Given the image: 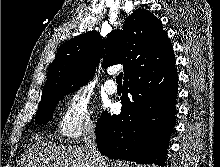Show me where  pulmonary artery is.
<instances>
[{
  "instance_id": "pulmonary-artery-1",
  "label": "pulmonary artery",
  "mask_w": 220,
  "mask_h": 167,
  "mask_svg": "<svg viewBox=\"0 0 220 167\" xmlns=\"http://www.w3.org/2000/svg\"><path fill=\"white\" fill-rule=\"evenodd\" d=\"M104 89L108 94H114L117 90V87L112 80H107L104 83Z\"/></svg>"
}]
</instances>
